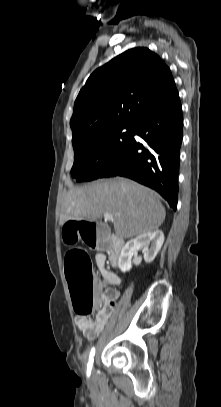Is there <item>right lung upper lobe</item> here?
Masks as SVG:
<instances>
[{
    "label": "right lung upper lobe",
    "mask_w": 221,
    "mask_h": 407,
    "mask_svg": "<svg viewBox=\"0 0 221 407\" xmlns=\"http://www.w3.org/2000/svg\"><path fill=\"white\" fill-rule=\"evenodd\" d=\"M176 90L173 76L148 48L130 49L95 70L79 92L70 120L72 143L135 124Z\"/></svg>",
    "instance_id": "right-lung-upper-lobe-1"
}]
</instances>
